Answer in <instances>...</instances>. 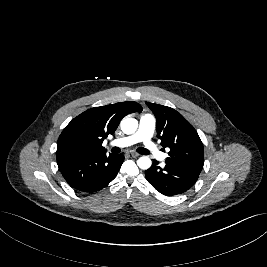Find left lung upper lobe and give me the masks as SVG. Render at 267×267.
Segmentation results:
<instances>
[{
	"mask_svg": "<svg viewBox=\"0 0 267 267\" xmlns=\"http://www.w3.org/2000/svg\"><path fill=\"white\" fill-rule=\"evenodd\" d=\"M157 121V137L170 148L166 164L200 174L204 164L203 143L194 127L176 110L150 102Z\"/></svg>",
	"mask_w": 267,
	"mask_h": 267,
	"instance_id": "left-lung-upper-lobe-1",
	"label": "left lung upper lobe"
}]
</instances>
